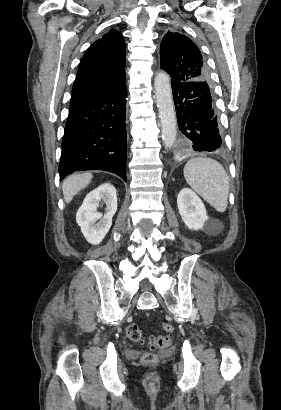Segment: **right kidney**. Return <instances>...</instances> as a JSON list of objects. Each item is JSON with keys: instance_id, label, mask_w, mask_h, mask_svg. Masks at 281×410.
I'll return each mask as SVG.
<instances>
[{"instance_id": "ca27d5eb", "label": "right kidney", "mask_w": 281, "mask_h": 410, "mask_svg": "<svg viewBox=\"0 0 281 410\" xmlns=\"http://www.w3.org/2000/svg\"><path fill=\"white\" fill-rule=\"evenodd\" d=\"M101 201L106 204L104 216L97 212ZM116 211L117 194L112 184H101L87 194L76 214V222L89 243L97 245L104 239L112 225V217ZM98 220L100 221L96 224Z\"/></svg>"}]
</instances>
